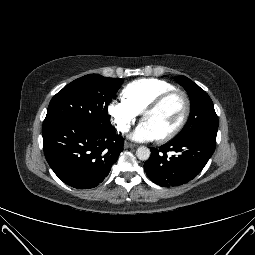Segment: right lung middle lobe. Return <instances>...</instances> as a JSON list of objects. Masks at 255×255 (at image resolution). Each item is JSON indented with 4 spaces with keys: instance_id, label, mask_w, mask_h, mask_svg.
Listing matches in <instances>:
<instances>
[{
    "instance_id": "right-lung-middle-lobe-1",
    "label": "right lung middle lobe",
    "mask_w": 255,
    "mask_h": 255,
    "mask_svg": "<svg viewBox=\"0 0 255 255\" xmlns=\"http://www.w3.org/2000/svg\"><path fill=\"white\" fill-rule=\"evenodd\" d=\"M121 83V79L98 74L74 80L52 98L44 123L73 120L96 130L112 129L108 105Z\"/></svg>"
}]
</instances>
